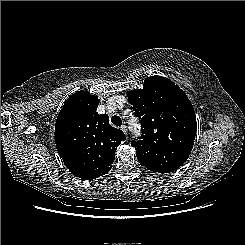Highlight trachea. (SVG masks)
I'll use <instances>...</instances> for the list:
<instances>
[{"instance_id":"obj_1","label":"trachea","mask_w":245,"mask_h":245,"mask_svg":"<svg viewBox=\"0 0 245 245\" xmlns=\"http://www.w3.org/2000/svg\"><path fill=\"white\" fill-rule=\"evenodd\" d=\"M111 122L116 125V126H121L122 124V120L119 116L117 115H114L112 118H111Z\"/></svg>"}]
</instances>
